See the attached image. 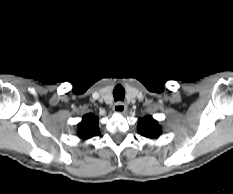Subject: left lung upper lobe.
<instances>
[{
    "mask_svg": "<svg viewBox=\"0 0 233 194\" xmlns=\"http://www.w3.org/2000/svg\"><path fill=\"white\" fill-rule=\"evenodd\" d=\"M138 131L142 136L150 139L158 138L161 134L160 126L152 116H146L139 120Z\"/></svg>",
    "mask_w": 233,
    "mask_h": 194,
    "instance_id": "5c2ea615",
    "label": "left lung upper lobe"
}]
</instances>
